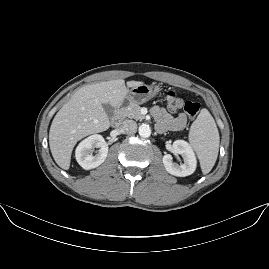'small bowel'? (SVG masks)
I'll use <instances>...</instances> for the list:
<instances>
[{
    "mask_svg": "<svg viewBox=\"0 0 269 269\" xmlns=\"http://www.w3.org/2000/svg\"><path fill=\"white\" fill-rule=\"evenodd\" d=\"M152 115L157 121L156 129L159 132L166 130L182 131L187 124V117L179 113L175 117L170 116L162 107L155 106L152 108Z\"/></svg>",
    "mask_w": 269,
    "mask_h": 269,
    "instance_id": "obj_1",
    "label": "small bowel"
}]
</instances>
